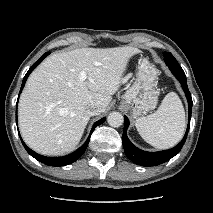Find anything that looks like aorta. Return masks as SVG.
Here are the masks:
<instances>
[{
  "instance_id": "1",
  "label": "aorta",
  "mask_w": 213,
  "mask_h": 213,
  "mask_svg": "<svg viewBox=\"0 0 213 213\" xmlns=\"http://www.w3.org/2000/svg\"><path fill=\"white\" fill-rule=\"evenodd\" d=\"M107 122L111 127H120L124 123V117L119 112H112L107 117Z\"/></svg>"
}]
</instances>
